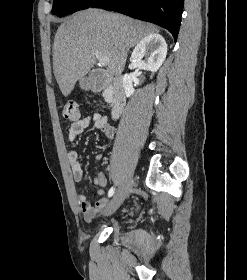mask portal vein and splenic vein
<instances>
[{
	"label": "portal vein and splenic vein",
	"instance_id": "18ae733b",
	"mask_svg": "<svg viewBox=\"0 0 247 280\" xmlns=\"http://www.w3.org/2000/svg\"><path fill=\"white\" fill-rule=\"evenodd\" d=\"M95 56H96V58L98 59V62L101 65H103V66L108 65V63H109V57L108 56L102 55V54H100L98 52H95Z\"/></svg>",
	"mask_w": 247,
	"mask_h": 280
}]
</instances>
